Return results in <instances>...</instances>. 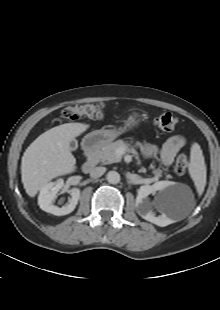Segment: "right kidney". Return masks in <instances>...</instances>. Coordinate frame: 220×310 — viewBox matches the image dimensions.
Returning <instances> with one entry per match:
<instances>
[{"mask_svg":"<svg viewBox=\"0 0 220 310\" xmlns=\"http://www.w3.org/2000/svg\"><path fill=\"white\" fill-rule=\"evenodd\" d=\"M64 187L63 179H58L55 182H49L45 184L41 190L38 197V204L40 208L48 213L62 216L71 213L78 203L80 198V190L78 188H72L70 190L71 198L68 200V204L61 208L54 206L52 202L56 198L57 192Z\"/></svg>","mask_w":220,"mask_h":310,"instance_id":"1","label":"right kidney"}]
</instances>
